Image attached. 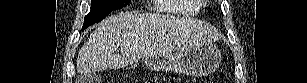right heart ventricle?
<instances>
[{
	"instance_id": "right-heart-ventricle-1",
	"label": "right heart ventricle",
	"mask_w": 307,
	"mask_h": 83,
	"mask_svg": "<svg viewBox=\"0 0 307 83\" xmlns=\"http://www.w3.org/2000/svg\"><path fill=\"white\" fill-rule=\"evenodd\" d=\"M158 10L169 14H194L197 11L190 0H158Z\"/></svg>"
}]
</instances>
